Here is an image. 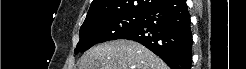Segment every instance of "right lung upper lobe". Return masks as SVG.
<instances>
[{
	"label": "right lung upper lobe",
	"instance_id": "obj_1",
	"mask_svg": "<svg viewBox=\"0 0 246 69\" xmlns=\"http://www.w3.org/2000/svg\"><path fill=\"white\" fill-rule=\"evenodd\" d=\"M164 0H93L86 21L121 14H142Z\"/></svg>",
	"mask_w": 246,
	"mask_h": 69
}]
</instances>
